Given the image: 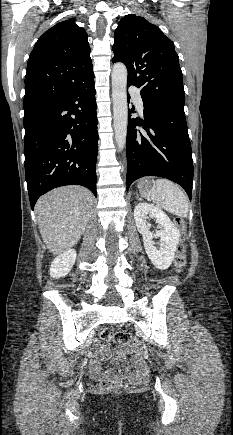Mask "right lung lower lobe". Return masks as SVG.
Here are the masks:
<instances>
[{"mask_svg":"<svg viewBox=\"0 0 233 435\" xmlns=\"http://www.w3.org/2000/svg\"><path fill=\"white\" fill-rule=\"evenodd\" d=\"M94 74L24 115L25 176L32 209L49 190L82 185L96 196L98 131Z\"/></svg>","mask_w":233,"mask_h":435,"instance_id":"98d812e1","label":"right lung lower lobe"}]
</instances>
